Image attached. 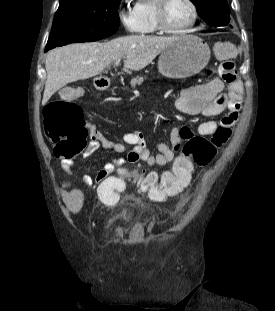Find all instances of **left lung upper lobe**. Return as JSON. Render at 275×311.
<instances>
[{
    "label": "left lung upper lobe",
    "mask_w": 275,
    "mask_h": 311,
    "mask_svg": "<svg viewBox=\"0 0 275 311\" xmlns=\"http://www.w3.org/2000/svg\"><path fill=\"white\" fill-rule=\"evenodd\" d=\"M198 9L199 16L210 26H225L230 21L227 0H190Z\"/></svg>",
    "instance_id": "left-lung-upper-lobe-1"
}]
</instances>
